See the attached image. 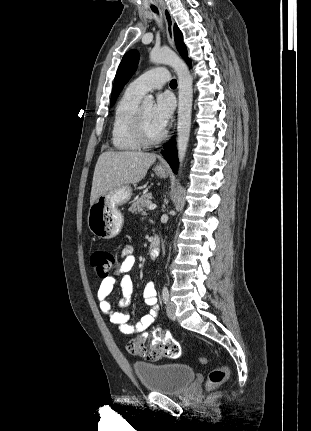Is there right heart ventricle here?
<instances>
[{
	"instance_id": "e07e8e85",
	"label": "right heart ventricle",
	"mask_w": 311,
	"mask_h": 431,
	"mask_svg": "<svg viewBox=\"0 0 311 431\" xmlns=\"http://www.w3.org/2000/svg\"><path fill=\"white\" fill-rule=\"evenodd\" d=\"M140 100L141 96L126 89L114 107L111 142L118 151H136L141 147L133 133V119Z\"/></svg>"
}]
</instances>
